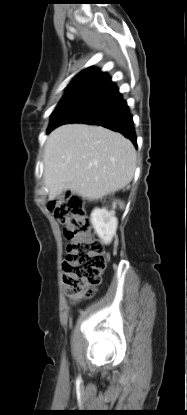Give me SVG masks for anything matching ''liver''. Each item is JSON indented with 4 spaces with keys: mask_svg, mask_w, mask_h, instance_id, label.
<instances>
[{
    "mask_svg": "<svg viewBox=\"0 0 187 415\" xmlns=\"http://www.w3.org/2000/svg\"><path fill=\"white\" fill-rule=\"evenodd\" d=\"M43 162L49 200L66 190L96 200L131 182L136 150L130 140L104 127L67 124L49 134Z\"/></svg>",
    "mask_w": 187,
    "mask_h": 415,
    "instance_id": "obj_1",
    "label": "liver"
}]
</instances>
